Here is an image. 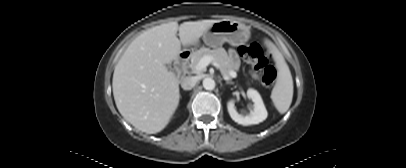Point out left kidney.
I'll return each instance as SVG.
<instances>
[{"mask_svg": "<svg viewBox=\"0 0 406 168\" xmlns=\"http://www.w3.org/2000/svg\"><path fill=\"white\" fill-rule=\"evenodd\" d=\"M247 96L253 101V106L249 108L250 113H238L235 107V100H229L227 108L232 120L238 124L248 126L253 124H259L267 118V110L263 103L260 94L254 89H248Z\"/></svg>", "mask_w": 406, "mask_h": 168, "instance_id": "1", "label": "left kidney"}]
</instances>
